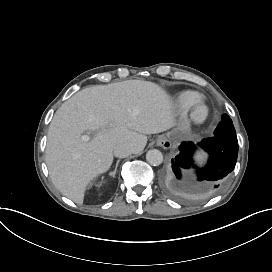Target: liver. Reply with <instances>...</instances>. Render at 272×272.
Returning a JSON list of instances; mask_svg holds the SVG:
<instances>
[{
	"label": "liver",
	"instance_id": "1",
	"mask_svg": "<svg viewBox=\"0 0 272 272\" xmlns=\"http://www.w3.org/2000/svg\"><path fill=\"white\" fill-rule=\"evenodd\" d=\"M174 125L171 98L153 82L127 80L82 89L61 105L49 126L45 159L52 183L82 204L87 184L110 168L116 145L126 142L139 153L146 134ZM85 131L96 134L83 141Z\"/></svg>",
	"mask_w": 272,
	"mask_h": 272
}]
</instances>
